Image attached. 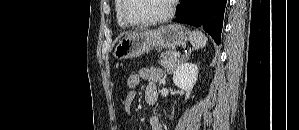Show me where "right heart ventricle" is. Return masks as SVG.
<instances>
[{
	"mask_svg": "<svg viewBox=\"0 0 299 130\" xmlns=\"http://www.w3.org/2000/svg\"><path fill=\"white\" fill-rule=\"evenodd\" d=\"M121 8H122V0H116L115 1V14H116V20L117 24L119 25L120 28L122 29H127L130 27L129 24H127L121 16Z\"/></svg>",
	"mask_w": 299,
	"mask_h": 130,
	"instance_id": "e07e8e85",
	"label": "right heart ventricle"
}]
</instances>
